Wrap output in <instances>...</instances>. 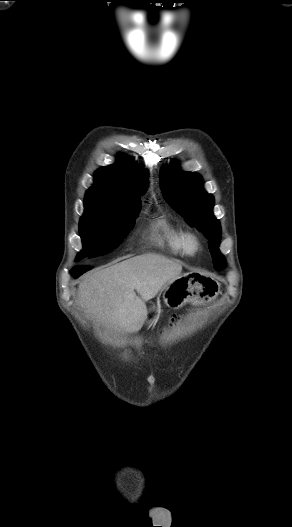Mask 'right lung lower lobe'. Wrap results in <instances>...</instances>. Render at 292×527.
I'll return each instance as SVG.
<instances>
[{
    "label": "right lung lower lobe",
    "mask_w": 292,
    "mask_h": 527,
    "mask_svg": "<svg viewBox=\"0 0 292 527\" xmlns=\"http://www.w3.org/2000/svg\"><path fill=\"white\" fill-rule=\"evenodd\" d=\"M90 269H91L90 267H77V268L73 269L71 271V273L78 277L79 275L83 274L84 272H86V271H88Z\"/></svg>",
    "instance_id": "obj_1"
}]
</instances>
